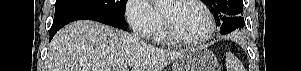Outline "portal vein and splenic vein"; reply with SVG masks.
Wrapping results in <instances>:
<instances>
[{"instance_id":"18ae733b","label":"portal vein and splenic vein","mask_w":301,"mask_h":71,"mask_svg":"<svg viewBox=\"0 0 301 71\" xmlns=\"http://www.w3.org/2000/svg\"><path fill=\"white\" fill-rule=\"evenodd\" d=\"M118 71H127V66H123L122 68L118 69Z\"/></svg>"}]
</instances>
